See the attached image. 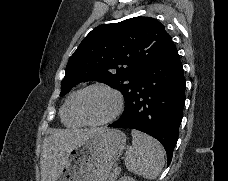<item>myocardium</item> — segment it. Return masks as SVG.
Returning a JSON list of instances; mask_svg holds the SVG:
<instances>
[{
  "label": "myocardium",
  "mask_w": 228,
  "mask_h": 181,
  "mask_svg": "<svg viewBox=\"0 0 228 181\" xmlns=\"http://www.w3.org/2000/svg\"><path fill=\"white\" fill-rule=\"evenodd\" d=\"M92 89H100V90L110 93L114 99V104H113L111 110L101 119L96 120V121H87L83 118V116L81 114L80 100H81L82 95L86 91L92 90ZM123 107H124V100H123V96L121 95V93L114 87L107 85V84H103V83H96V84L86 87L85 89H83L82 91H80L78 93L76 100L74 102V108H75L77 116L82 120V122H84L87 125H91V126H100V125H103V124L113 120L121 113V111L123 110Z\"/></svg>",
  "instance_id": "myocardium-1"
}]
</instances>
